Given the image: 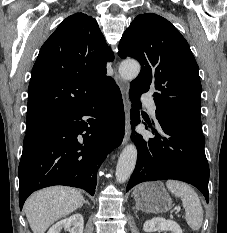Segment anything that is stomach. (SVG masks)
<instances>
[{"label":"stomach","mask_w":227,"mask_h":233,"mask_svg":"<svg viewBox=\"0 0 227 233\" xmlns=\"http://www.w3.org/2000/svg\"><path fill=\"white\" fill-rule=\"evenodd\" d=\"M137 206L146 213H164L172 207V199L160 182L145 183L133 191Z\"/></svg>","instance_id":"1"}]
</instances>
